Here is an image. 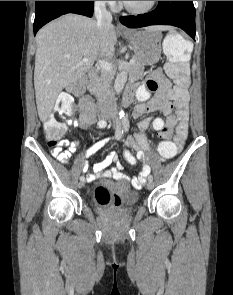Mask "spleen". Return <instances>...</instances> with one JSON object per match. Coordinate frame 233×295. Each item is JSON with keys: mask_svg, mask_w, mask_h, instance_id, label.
Wrapping results in <instances>:
<instances>
[{"mask_svg": "<svg viewBox=\"0 0 233 295\" xmlns=\"http://www.w3.org/2000/svg\"><path fill=\"white\" fill-rule=\"evenodd\" d=\"M191 50V43L179 34L170 33L163 41V51L172 62L190 60Z\"/></svg>", "mask_w": 233, "mask_h": 295, "instance_id": "spleen-1", "label": "spleen"}]
</instances>
